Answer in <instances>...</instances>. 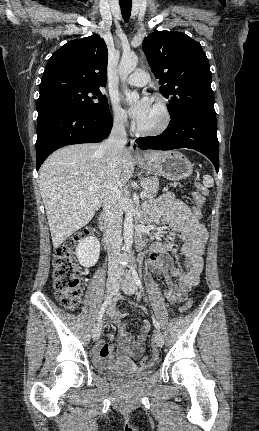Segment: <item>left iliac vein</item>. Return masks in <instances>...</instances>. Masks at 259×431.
Here are the masks:
<instances>
[{"label":"left iliac vein","instance_id":"left-iliac-vein-1","mask_svg":"<svg viewBox=\"0 0 259 431\" xmlns=\"http://www.w3.org/2000/svg\"><path fill=\"white\" fill-rule=\"evenodd\" d=\"M126 277L127 280L122 283V289L127 295H133L137 290L136 282L129 273H126ZM153 339L158 347H162L164 345V338L159 330L155 331Z\"/></svg>","mask_w":259,"mask_h":431}]
</instances>
